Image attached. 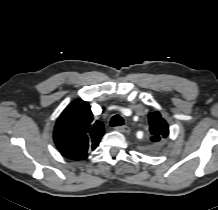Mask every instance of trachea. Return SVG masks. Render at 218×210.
Masks as SVG:
<instances>
[{
    "label": "trachea",
    "instance_id": "trachea-1",
    "mask_svg": "<svg viewBox=\"0 0 218 210\" xmlns=\"http://www.w3.org/2000/svg\"><path fill=\"white\" fill-rule=\"evenodd\" d=\"M124 125V120L120 115H114L110 120V126H122Z\"/></svg>",
    "mask_w": 218,
    "mask_h": 210
}]
</instances>
